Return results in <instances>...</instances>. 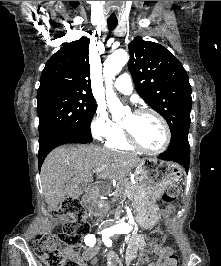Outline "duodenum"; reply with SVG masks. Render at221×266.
Segmentation results:
<instances>
[{"mask_svg":"<svg viewBox=\"0 0 221 266\" xmlns=\"http://www.w3.org/2000/svg\"><path fill=\"white\" fill-rule=\"evenodd\" d=\"M105 193L109 195V192H105L98 186L90 185L85 194V199L88 200L86 205L93 206V210H96V213H108V208H103V201H99V198H97Z\"/></svg>","mask_w":221,"mask_h":266,"instance_id":"1","label":"duodenum"}]
</instances>
